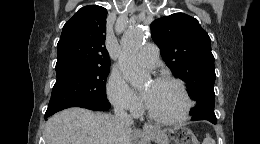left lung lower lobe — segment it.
<instances>
[{"mask_svg": "<svg viewBox=\"0 0 260 144\" xmlns=\"http://www.w3.org/2000/svg\"><path fill=\"white\" fill-rule=\"evenodd\" d=\"M206 120H208L209 122H211L213 124L217 123V119L216 118L206 119Z\"/></svg>", "mask_w": 260, "mask_h": 144, "instance_id": "obj_1", "label": "left lung lower lobe"}]
</instances>
